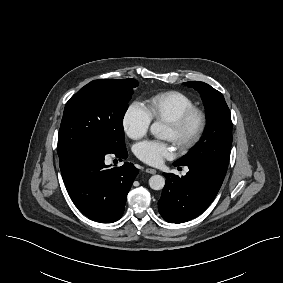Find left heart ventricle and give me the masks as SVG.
<instances>
[{
  "label": "left heart ventricle",
  "mask_w": 283,
  "mask_h": 283,
  "mask_svg": "<svg viewBox=\"0 0 283 283\" xmlns=\"http://www.w3.org/2000/svg\"><path fill=\"white\" fill-rule=\"evenodd\" d=\"M173 135L174 134H173L172 129L166 125L165 130H164V138L172 139Z\"/></svg>",
  "instance_id": "1"
}]
</instances>
